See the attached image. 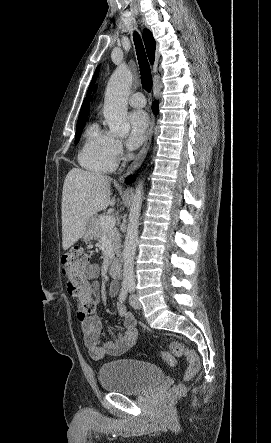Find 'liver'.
Wrapping results in <instances>:
<instances>
[{"mask_svg":"<svg viewBox=\"0 0 271 443\" xmlns=\"http://www.w3.org/2000/svg\"><path fill=\"white\" fill-rule=\"evenodd\" d=\"M109 176H99L73 168L68 172L62 192V247L68 249L82 237L84 225L97 212L115 206L110 200Z\"/></svg>","mask_w":271,"mask_h":443,"instance_id":"obj_1","label":"liver"}]
</instances>
